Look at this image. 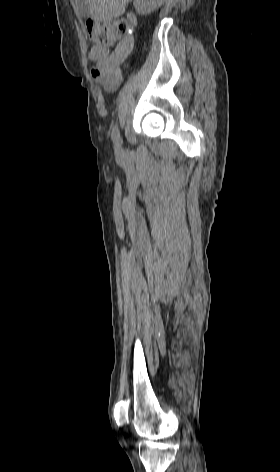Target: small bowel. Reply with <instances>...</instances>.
Instances as JSON below:
<instances>
[{"label": "small bowel", "instance_id": "1", "mask_svg": "<svg viewBox=\"0 0 280 472\" xmlns=\"http://www.w3.org/2000/svg\"><path fill=\"white\" fill-rule=\"evenodd\" d=\"M133 27L137 22L134 17L129 18ZM134 47L132 35L123 37L117 46L109 51L103 47H92L89 58L95 63L91 75L105 92L115 91L122 81L121 66L126 62Z\"/></svg>", "mask_w": 280, "mask_h": 472}]
</instances>
